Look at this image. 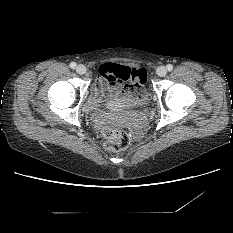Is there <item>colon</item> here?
Listing matches in <instances>:
<instances>
[{
	"label": "colon",
	"mask_w": 233,
	"mask_h": 233,
	"mask_svg": "<svg viewBox=\"0 0 233 233\" xmlns=\"http://www.w3.org/2000/svg\"><path fill=\"white\" fill-rule=\"evenodd\" d=\"M112 79L120 82H128L126 89L129 92H135L137 90L138 82L130 76L127 68H117ZM102 135L106 139L104 147L110 152L126 149L132 142L131 136L126 130L109 123L103 126Z\"/></svg>",
	"instance_id": "obj_1"
}]
</instances>
